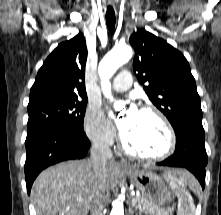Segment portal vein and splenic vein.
I'll return each mask as SVG.
<instances>
[{
  "label": "portal vein and splenic vein",
  "instance_id": "1",
  "mask_svg": "<svg viewBox=\"0 0 221 215\" xmlns=\"http://www.w3.org/2000/svg\"><path fill=\"white\" fill-rule=\"evenodd\" d=\"M137 201L135 199H132V203L135 204Z\"/></svg>",
  "mask_w": 221,
  "mask_h": 215
}]
</instances>
